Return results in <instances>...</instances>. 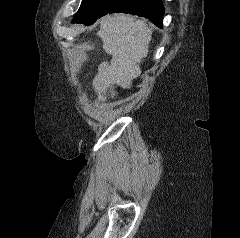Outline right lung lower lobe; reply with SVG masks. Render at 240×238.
<instances>
[{"label": "right lung lower lobe", "instance_id": "98d812e1", "mask_svg": "<svg viewBox=\"0 0 240 238\" xmlns=\"http://www.w3.org/2000/svg\"><path fill=\"white\" fill-rule=\"evenodd\" d=\"M130 13L148 18L162 27L164 7L161 0H122L109 13Z\"/></svg>", "mask_w": 240, "mask_h": 238}]
</instances>
